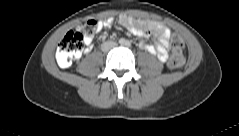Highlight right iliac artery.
<instances>
[{"label":"right iliac artery","instance_id":"82829eb1","mask_svg":"<svg viewBox=\"0 0 239 136\" xmlns=\"http://www.w3.org/2000/svg\"><path fill=\"white\" fill-rule=\"evenodd\" d=\"M119 43H120V44H124V40H122V39L119 40Z\"/></svg>","mask_w":239,"mask_h":136}]
</instances>
